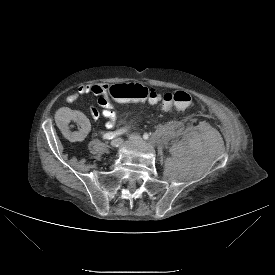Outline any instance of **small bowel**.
Returning <instances> with one entry per match:
<instances>
[{"mask_svg": "<svg viewBox=\"0 0 275 275\" xmlns=\"http://www.w3.org/2000/svg\"><path fill=\"white\" fill-rule=\"evenodd\" d=\"M110 89L111 86L107 83L83 84L67 96V102H75L87 94L97 96L100 111L91 107L89 113L94 119L104 117L105 127L113 129L116 124V113L110 98ZM55 117L54 125L58 133L73 143L81 141L90 131V124L86 115L77 107L72 109L61 108L57 110Z\"/></svg>", "mask_w": 275, "mask_h": 275, "instance_id": "small-bowel-1", "label": "small bowel"}]
</instances>
